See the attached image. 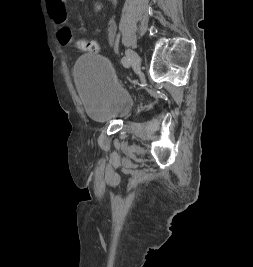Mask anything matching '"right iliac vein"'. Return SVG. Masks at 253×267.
Segmentation results:
<instances>
[{
  "label": "right iliac vein",
  "instance_id": "obj_1",
  "mask_svg": "<svg viewBox=\"0 0 253 267\" xmlns=\"http://www.w3.org/2000/svg\"><path fill=\"white\" fill-rule=\"evenodd\" d=\"M126 56L130 59V64L134 68V70H139L141 65V59L139 55L133 50L127 49Z\"/></svg>",
  "mask_w": 253,
  "mask_h": 267
}]
</instances>
